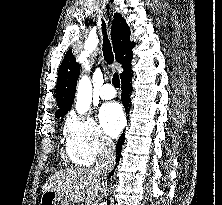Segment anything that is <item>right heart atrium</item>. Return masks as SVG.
<instances>
[{
	"instance_id": "1",
	"label": "right heart atrium",
	"mask_w": 222,
	"mask_h": 205,
	"mask_svg": "<svg viewBox=\"0 0 222 205\" xmlns=\"http://www.w3.org/2000/svg\"><path fill=\"white\" fill-rule=\"evenodd\" d=\"M65 133L67 151L78 164L91 165L113 149L112 140L92 118L73 117Z\"/></svg>"
}]
</instances>
